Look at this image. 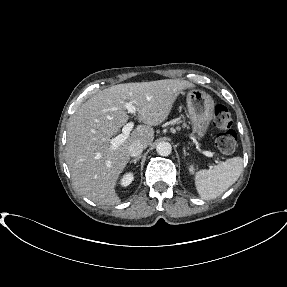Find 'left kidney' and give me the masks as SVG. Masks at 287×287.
I'll return each mask as SVG.
<instances>
[{"label": "left kidney", "instance_id": "5707ae66", "mask_svg": "<svg viewBox=\"0 0 287 287\" xmlns=\"http://www.w3.org/2000/svg\"><path fill=\"white\" fill-rule=\"evenodd\" d=\"M189 172H190V173H193V172H194V167H193V165H190V166H189Z\"/></svg>", "mask_w": 287, "mask_h": 287}]
</instances>
